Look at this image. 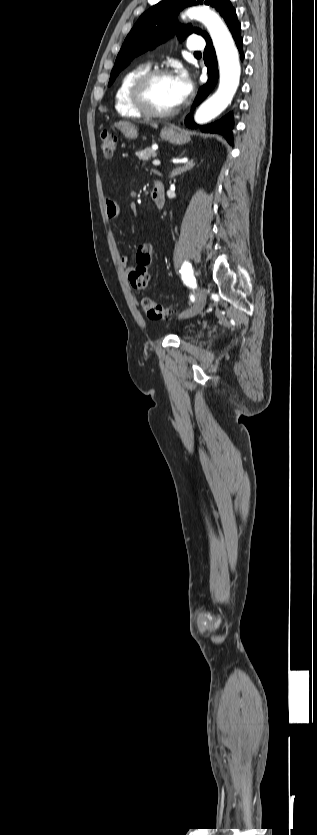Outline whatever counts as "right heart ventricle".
<instances>
[{"mask_svg":"<svg viewBox=\"0 0 317 835\" xmlns=\"http://www.w3.org/2000/svg\"><path fill=\"white\" fill-rule=\"evenodd\" d=\"M149 70L147 65H138L121 78L115 92V108L119 114L127 117L141 118L144 115L136 109L130 97V90L135 80Z\"/></svg>","mask_w":317,"mask_h":835,"instance_id":"obj_1","label":"right heart ventricle"}]
</instances>
